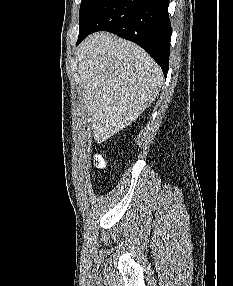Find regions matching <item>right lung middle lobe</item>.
Segmentation results:
<instances>
[{
  "instance_id": "1",
  "label": "right lung middle lobe",
  "mask_w": 233,
  "mask_h": 286,
  "mask_svg": "<svg viewBox=\"0 0 233 286\" xmlns=\"http://www.w3.org/2000/svg\"><path fill=\"white\" fill-rule=\"evenodd\" d=\"M97 1L98 0H82L79 13L80 23L85 19V17Z\"/></svg>"
}]
</instances>
